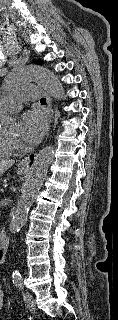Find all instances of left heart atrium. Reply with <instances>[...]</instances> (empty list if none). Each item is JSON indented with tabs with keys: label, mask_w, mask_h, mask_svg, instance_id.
<instances>
[{
	"label": "left heart atrium",
	"mask_w": 118,
	"mask_h": 320,
	"mask_svg": "<svg viewBox=\"0 0 118 320\" xmlns=\"http://www.w3.org/2000/svg\"><path fill=\"white\" fill-rule=\"evenodd\" d=\"M47 130V118L40 109L25 112L20 121V137L30 145L37 144Z\"/></svg>",
	"instance_id": "left-heart-atrium-1"
}]
</instances>
